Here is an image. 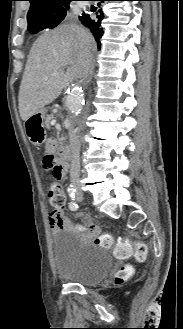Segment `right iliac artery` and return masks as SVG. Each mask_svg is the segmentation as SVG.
<instances>
[{
  "label": "right iliac artery",
  "mask_w": 183,
  "mask_h": 329,
  "mask_svg": "<svg viewBox=\"0 0 183 329\" xmlns=\"http://www.w3.org/2000/svg\"><path fill=\"white\" fill-rule=\"evenodd\" d=\"M69 196L71 198V202L69 203V208L72 211H76L78 209V204L75 201V189H68Z\"/></svg>",
  "instance_id": "82829eb1"
}]
</instances>
